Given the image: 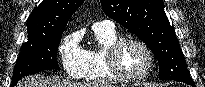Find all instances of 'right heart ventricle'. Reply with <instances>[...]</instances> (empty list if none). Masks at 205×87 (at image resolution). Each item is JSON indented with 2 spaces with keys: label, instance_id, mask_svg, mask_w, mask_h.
<instances>
[{
  "label": "right heart ventricle",
  "instance_id": "obj_1",
  "mask_svg": "<svg viewBox=\"0 0 205 87\" xmlns=\"http://www.w3.org/2000/svg\"><path fill=\"white\" fill-rule=\"evenodd\" d=\"M92 33L98 46L84 50L85 65L80 78L95 83L115 82L117 79L109 71L106 52L119 36L114 29L98 27H93Z\"/></svg>",
  "mask_w": 205,
  "mask_h": 87
}]
</instances>
